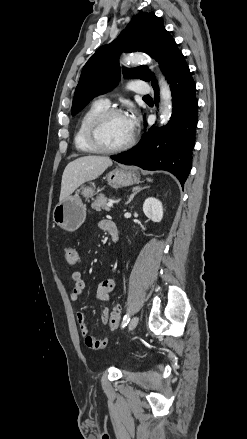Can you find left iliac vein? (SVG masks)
Segmentation results:
<instances>
[{
    "label": "left iliac vein",
    "instance_id": "left-iliac-vein-1",
    "mask_svg": "<svg viewBox=\"0 0 247 439\" xmlns=\"http://www.w3.org/2000/svg\"><path fill=\"white\" fill-rule=\"evenodd\" d=\"M138 321H139V319H138L137 316H135V317L131 320V322L129 323V326H128L129 331H132V330H134V329L136 328V326H137V324H138Z\"/></svg>",
    "mask_w": 247,
    "mask_h": 439
}]
</instances>
